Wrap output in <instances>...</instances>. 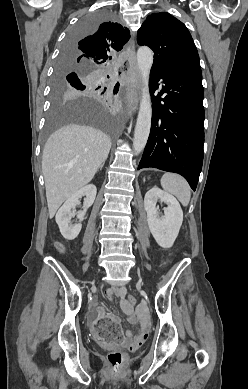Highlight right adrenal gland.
<instances>
[{
    "label": "right adrenal gland",
    "mask_w": 248,
    "mask_h": 389,
    "mask_svg": "<svg viewBox=\"0 0 248 389\" xmlns=\"http://www.w3.org/2000/svg\"><path fill=\"white\" fill-rule=\"evenodd\" d=\"M103 166H104V162L100 165L99 169L102 170Z\"/></svg>",
    "instance_id": "1"
}]
</instances>
